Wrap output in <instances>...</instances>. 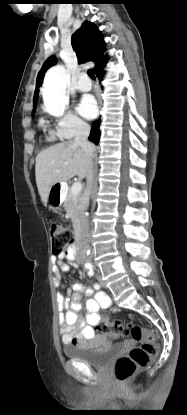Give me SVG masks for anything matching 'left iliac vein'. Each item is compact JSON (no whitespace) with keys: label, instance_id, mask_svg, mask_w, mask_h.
<instances>
[{"label":"left iliac vein","instance_id":"4c4485c4","mask_svg":"<svg viewBox=\"0 0 187 415\" xmlns=\"http://www.w3.org/2000/svg\"><path fill=\"white\" fill-rule=\"evenodd\" d=\"M97 279H98L100 285L103 286V282H102V278H101L100 274H97Z\"/></svg>","mask_w":187,"mask_h":415}]
</instances>
